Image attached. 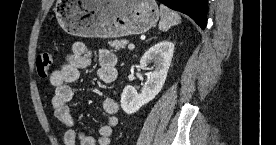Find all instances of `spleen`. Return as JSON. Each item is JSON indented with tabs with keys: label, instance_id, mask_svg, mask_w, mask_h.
Masks as SVG:
<instances>
[{
	"label": "spleen",
	"instance_id": "3e777b00",
	"mask_svg": "<svg viewBox=\"0 0 276 145\" xmlns=\"http://www.w3.org/2000/svg\"><path fill=\"white\" fill-rule=\"evenodd\" d=\"M160 16L159 29L161 31H167L170 27L181 22L179 14L163 4L160 5Z\"/></svg>",
	"mask_w": 276,
	"mask_h": 145
}]
</instances>
